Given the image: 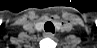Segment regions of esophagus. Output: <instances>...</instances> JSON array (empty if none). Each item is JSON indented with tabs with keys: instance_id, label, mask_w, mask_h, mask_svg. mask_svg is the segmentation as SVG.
<instances>
[{
	"instance_id": "obj_1",
	"label": "esophagus",
	"mask_w": 97,
	"mask_h": 48,
	"mask_svg": "<svg viewBox=\"0 0 97 48\" xmlns=\"http://www.w3.org/2000/svg\"><path fill=\"white\" fill-rule=\"evenodd\" d=\"M44 36L47 37V38H53L54 37V34L51 33V32H45L44 33Z\"/></svg>"
}]
</instances>
